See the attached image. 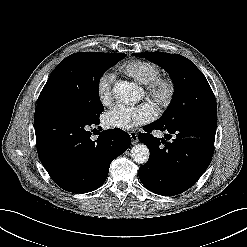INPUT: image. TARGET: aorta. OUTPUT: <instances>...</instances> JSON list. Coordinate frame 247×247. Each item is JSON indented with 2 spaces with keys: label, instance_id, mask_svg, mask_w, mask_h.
<instances>
[{
  "label": "aorta",
  "instance_id": "obj_1",
  "mask_svg": "<svg viewBox=\"0 0 247 247\" xmlns=\"http://www.w3.org/2000/svg\"><path fill=\"white\" fill-rule=\"evenodd\" d=\"M114 97L125 104L138 101L140 95L136 87L127 82H118L114 85ZM150 151L144 144L134 145L131 149V157L138 164H145L149 160Z\"/></svg>",
  "mask_w": 247,
  "mask_h": 247
}]
</instances>
